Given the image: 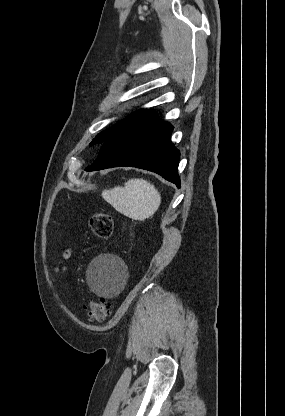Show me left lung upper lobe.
<instances>
[{"mask_svg": "<svg viewBox=\"0 0 285 416\" xmlns=\"http://www.w3.org/2000/svg\"><path fill=\"white\" fill-rule=\"evenodd\" d=\"M151 113L150 110H139L128 116L127 118L121 120L116 125L110 127L109 129H106L99 133L90 143V146H93L95 144H103L110 136H112L116 131H118L120 128L125 126L126 124L142 117L147 114Z\"/></svg>", "mask_w": 285, "mask_h": 416, "instance_id": "obj_1", "label": "left lung upper lobe"}]
</instances>
